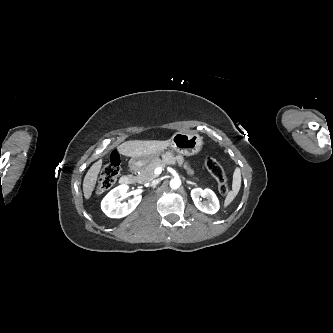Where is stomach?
<instances>
[{
    "instance_id": "stomach-1",
    "label": "stomach",
    "mask_w": 333,
    "mask_h": 333,
    "mask_svg": "<svg viewBox=\"0 0 333 333\" xmlns=\"http://www.w3.org/2000/svg\"><path fill=\"white\" fill-rule=\"evenodd\" d=\"M170 147L178 154L191 156L201 151L203 147V138L198 134H189L184 132H176L170 139ZM163 151L146 157H132L129 166L133 169H140L146 164L163 156Z\"/></svg>"
}]
</instances>
